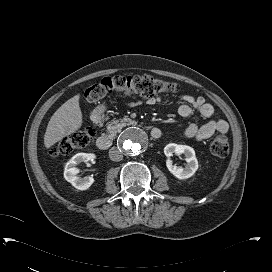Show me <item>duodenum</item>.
I'll return each instance as SVG.
<instances>
[{
  "label": "duodenum",
  "mask_w": 272,
  "mask_h": 272,
  "mask_svg": "<svg viewBox=\"0 0 272 272\" xmlns=\"http://www.w3.org/2000/svg\"><path fill=\"white\" fill-rule=\"evenodd\" d=\"M104 113V109L102 107H97L91 117L94 122H99L101 120V117ZM150 136L153 139H158L161 137V131L160 129L153 127L150 129ZM112 144V138L108 135H101L96 140V146L101 150L108 149Z\"/></svg>",
  "instance_id": "duodenum-1"
}]
</instances>
